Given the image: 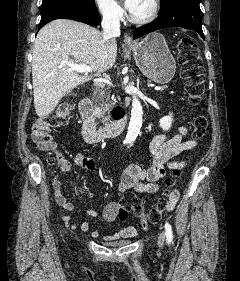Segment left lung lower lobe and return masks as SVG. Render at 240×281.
<instances>
[{
  "mask_svg": "<svg viewBox=\"0 0 240 281\" xmlns=\"http://www.w3.org/2000/svg\"><path fill=\"white\" fill-rule=\"evenodd\" d=\"M199 4L200 0H170L161 7L157 19L135 30L134 39L158 29L177 26L194 30L204 38Z\"/></svg>",
  "mask_w": 240,
  "mask_h": 281,
  "instance_id": "left-lung-lower-lobe-1",
  "label": "left lung lower lobe"
}]
</instances>
